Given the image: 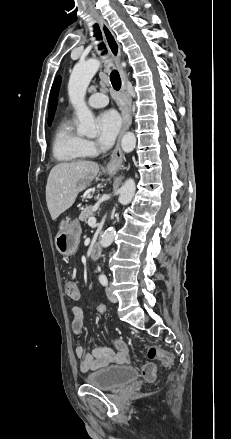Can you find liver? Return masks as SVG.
I'll list each match as a JSON object with an SVG mask.
<instances>
[{
    "label": "liver",
    "mask_w": 231,
    "mask_h": 439,
    "mask_svg": "<svg viewBox=\"0 0 231 439\" xmlns=\"http://www.w3.org/2000/svg\"><path fill=\"white\" fill-rule=\"evenodd\" d=\"M99 172L93 161H73L54 166L46 185V202L52 220L69 209L77 195L86 189Z\"/></svg>",
    "instance_id": "1"
}]
</instances>
